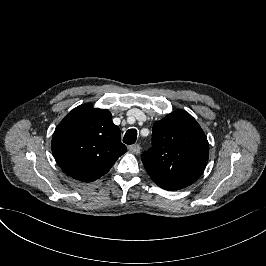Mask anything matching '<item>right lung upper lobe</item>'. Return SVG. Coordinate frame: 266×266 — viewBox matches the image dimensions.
<instances>
[{
	"instance_id": "obj_1",
	"label": "right lung upper lobe",
	"mask_w": 266,
	"mask_h": 266,
	"mask_svg": "<svg viewBox=\"0 0 266 266\" xmlns=\"http://www.w3.org/2000/svg\"><path fill=\"white\" fill-rule=\"evenodd\" d=\"M126 151L111 113L94 109L89 103L73 109L52 137V153L58 165L66 174L83 182L102 177Z\"/></svg>"
}]
</instances>
